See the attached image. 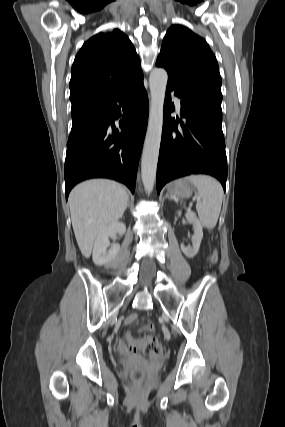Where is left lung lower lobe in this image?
I'll use <instances>...</instances> for the list:
<instances>
[{"mask_svg":"<svg viewBox=\"0 0 285 427\" xmlns=\"http://www.w3.org/2000/svg\"><path fill=\"white\" fill-rule=\"evenodd\" d=\"M181 99L180 121L171 118L174 104L170 92ZM190 174H209L216 177L224 190L227 180V159L222 132L221 108L193 100L185 92L167 84L164 104V123L157 166V192L169 181Z\"/></svg>","mask_w":285,"mask_h":427,"instance_id":"obj_1","label":"left lung lower lobe"}]
</instances>
